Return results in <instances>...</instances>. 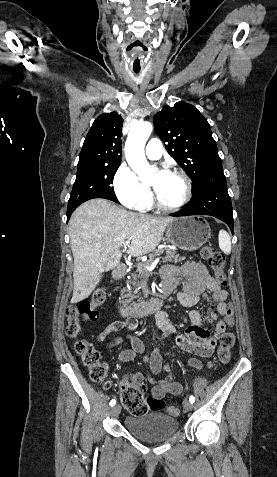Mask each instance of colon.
Listing matches in <instances>:
<instances>
[{"label": "colon", "instance_id": "obj_1", "mask_svg": "<svg viewBox=\"0 0 277 477\" xmlns=\"http://www.w3.org/2000/svg\"><path fill=\"white\" fill-rule=\"evenodd\" d=\"M201 257L206 260L215 273V278L226 285L225 255L211 246H205L201 249ZM106 292L103 288L96 289L89 299L82 300L76 305L70 307L67 312L68 327L67 335L75 339L74 348L80 356L82 363L89 369L90 377L93 381L102 383L105 387L110 384L107 381V364L101 360L99 351L87 340L81 337V321H94L98 318V308L104 303ZM234 301L226 302L225 314L223 315L224 324L233 326L235 324ZM235 336L232 332H226L220 337L218 348V358L225 363L230 358V351L234 347ZM145 386L142 384H133L123 382L121 384V402L125 408L133 415H143L149 411H160L165 407L162 399L152 396L144 398ZM168 413L171 416H177L179 409L169 407Z\"/></svg>", "mask_w": 277, "mask_h": 477}]
</instances>
